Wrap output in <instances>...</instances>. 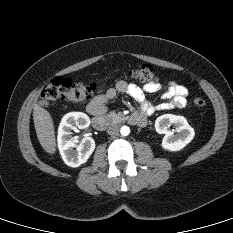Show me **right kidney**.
<instances>
[{"mask_svg":"<svg viewBox=\"0 0 233 233\" xmlns=\"http://www.w3.org/2000/svg\"><path fill=\"white\" fill-rule=\"evenodd\" d=\"M89 125V117L82 112L67 113L61 120L57 136L58 148L63 161L70 167H78L85 163L95 149L93 138L85 137L78 144V140L71 135V130L84 129Z\"/></svg>","mask_w":233,"mask_h":233,"instance_id":"right-kidney-1","label":"right kidney"}]
</instances>
